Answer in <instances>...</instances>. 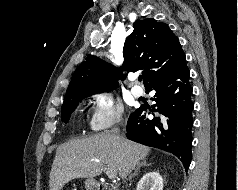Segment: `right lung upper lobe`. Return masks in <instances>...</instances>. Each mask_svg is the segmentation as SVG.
Listing matches in <instances>:
<instances>
[{"instance_id": "cb5924a9", "label": "right lung upper lobe", "mask_w": 238, "mask_h": 190, "mask_svg": "<svg viewBox=\"0 0 238 190\" xmlns=\"http://www.w3.org/2000/svg\"><path fill=\"white\" fill-rule=\"evenodd\" d=\"M133 27L123 48L122 68L132 72L141 70L147 88L173 72L185 60V54L167 24L148 18L134 22ZM119 78L122 75L117 68L89 54L75 70L65 98L113 90Z\"/></svg>"}]
</instances>
